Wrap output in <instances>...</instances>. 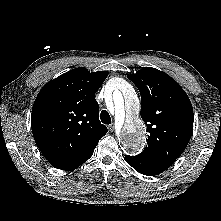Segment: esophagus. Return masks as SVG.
Here are the masks:
<instances>
[{"label": "esophagus", "instance_id": "34e87169", "mask_svg": "<svg viewBox=\"0 0 221 221\" xmlns=\"http://www.w3.org/2000/svg\"><path fill=\"white\" fill-rule=\"evenodd\" d=\"M114 129H115V126H114V124L112 123V124H110V125H108V130L110 131V132H113L114 131Z\"/></svg>", "mask_w": 221, "mask_h": 221}]
</instances>
